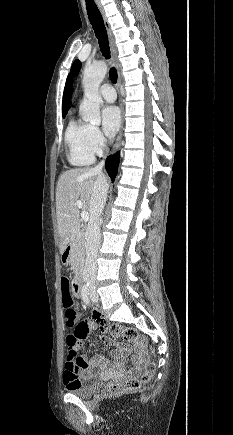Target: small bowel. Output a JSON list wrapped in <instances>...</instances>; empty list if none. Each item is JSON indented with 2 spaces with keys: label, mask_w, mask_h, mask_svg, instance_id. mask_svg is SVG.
I'll list each match as a JSON object with an SVG mask.
<instances>
[{
  "label": "small bowel",
  "mask_w": 233,
  "mask_h": 435,
  "mask_svg": "<svg viewBox=\"0 0 233 435\" xmlns=\"http://www.w3.org/2000/svg\"><path fill=\"white\" fill-rule=\"evenodd\" d=\"M60 293L62 297L65 295L74 294L75 289L73 284L64 283L61 279L60 282ZM82 296V294H81ZM93 317L99 321V326L101 329V334L97 336L98 340L102 342L103 345L111 347V356L116 360H121L126 351L115 344L114 339L108 335L109 325L102 319L101 313L99 311L93 312ZM96 328V323L92 319L79 318L76 324L73 326V330L67 336L68 339L75 341L76 347L78 348L82 342L88 337L89 333ZM133 342V366L127 371L130 375H139L143 371L145 366V361L143 359L146 353V347L142 344V339H136ZM86 356L82 355V364H76L65 357L62 366V383L68 389H73L80 385L88 382L94 381L96 375L98 374H108L112 371H118L119 373L124 372L121 365L117 364L112 366L110 360L105 356L94 355L86 360ZM87 372L84 373L83 371Z\"/></svg>",
  "instance_id": "obj_1"
}]
</instances>
